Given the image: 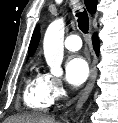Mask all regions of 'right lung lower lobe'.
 Segmentation results:
<instances>
[{
  "mask_svg": "<svg viewBox=\"0 0 118 123\" xmlns=\"http://www.w3.org/2000/svg\"><path fill=\"white\" fill-rule=\"evenodd\" d=\"M92 40H93L94 50L98 54V52H99V40H98V37L96 34L93 35Z\"/></svg>",
  "mask_w": 118,
  "mask_h": 123,
  "instance_id": "98d812e1",
  "label": "right lung lower lobe"
}]
</instances>
